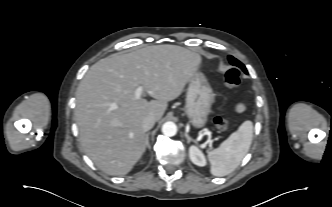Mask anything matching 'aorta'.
Returning <instances> with one entry per match:
<instances>
[{"label": "aorta", "instance_id": "1", "mask_svg": "<svg viewBox=\"0 0 332 207\" xmlns=\"http://www.w3.org/2000/svg\"><path fill=\"white\" fill-rule=\"evenodd\" d=\"M162 133L166 136L172 137L177 133V126L175 123L169 121L163 124Z\"/></svg>", "mask_w": 332, "mask_h": 207}]
</instances>
